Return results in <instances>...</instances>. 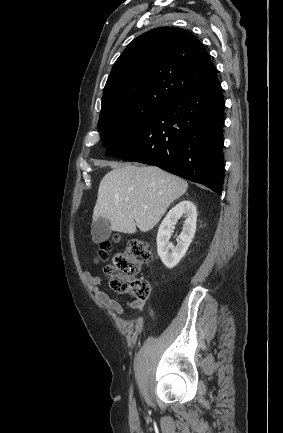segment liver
Here are the masks:
<instances>
[{
  "label": "liver",
  "instance_id": "6515ba94",
  "mask_svg": "<svg viewBox=\"0 0 283 433\" xmlns=\"http://www.w3.org/2000/svg\"><path fill=\"white\" fill-rule=\"evenodd\" d=\"M187 188L186 180L158 166L114 162L99 184L93 221L103 217L118 233L133 235L137 229L147 233Z\"/></svg>",
  "mask_w": 283,
  "mask_h": 433
}]
</instances>
